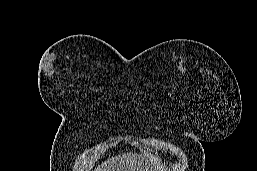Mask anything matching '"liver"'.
Returning <instances> with one entry per match:
<instances>
[{
    "label": "liver",
    "mask_w": 257,
    "mask_h": 171,
    "mask_svg": "<svg viewBox=\"0 0 257 171\" xmlns=\"http://www.w3.org/2000/svg\"><path fill=\"white\" fill-rule=\"evenodd\" d=\"M94 171H159L155 157L123 153L98 165Z\"/></svg>",
    "instance_id": "6515ba94"
}]
</instances>
